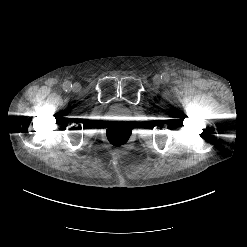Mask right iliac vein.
Masks as SVG:
<instances>
[{"label": "right iliac vein", "mask_w": 247, "mask_h": 247, "mask_svg": "<svg viewBox=\"0 0 247 247\" xmlns=\"http://www.w3.org/2000/svg\"><path fill=\"white\" fill-rule=\"evenodd\" d=\"M73 90H75V91L80 90V84H79V83H75V84L73 85Z\"/></svg>", "instance_id": "right-iliac-vein-1"}]
</instances>
